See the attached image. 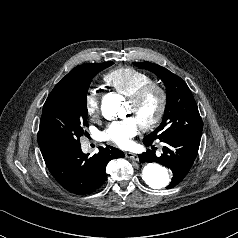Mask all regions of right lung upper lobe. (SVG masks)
<instances>
[{"label": "right lung upper lobe", "mask_w": 238, "mask_h": 238, "mask_svg": "<svg viewBox=\"0 0 238 238\" xmlns=\"http://www.w3.org/2000/svg\"><path fill=\"white\" fill-rule=\"evenodd\" d=\"M86 65H88V64L80 65V66H77L74 69H72L65 77L62 78L60 83L66 81L67 79H69V78L73 77L74 75L78 74ZM41 152H42L44 160L58 154V153L53 152V151H46V150H42V149H41Z\"/></svg>", "instance_id": "cb5924a9"}]
</instances>
